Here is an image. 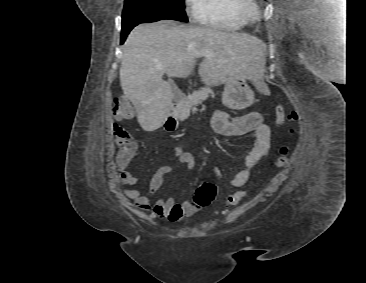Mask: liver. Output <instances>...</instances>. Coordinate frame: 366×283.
I'll list each match as a JSON object with an SVG mask.
<instances>
[{"mask_svg": "<svg viewBox=\"0 0 366 283\" xmlns=\"http://www.w3.org/2000/svg\"><path fill=\"white\" fill-rule=\"evenodd\" d=\"M264 45L256 37L211 27L162 20L136 26L124 46L120 82L144 131L160 128L173 109V90L163 75L188 77L197 58L198 73L207 85L234 77L250 79L259 87L264 73ZM208 51V56L196 53ZM164 65V69L157 68Z\"/></svg>", "mask_w": 366, "mask_h": 283, "instance_id": "1", "label": "liver"}]
</instances>
